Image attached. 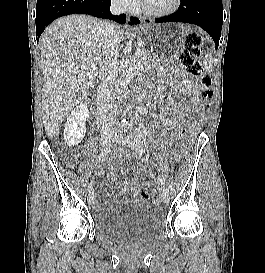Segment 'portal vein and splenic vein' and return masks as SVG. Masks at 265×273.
Here are the masks:
<instances>
[{"label":"portal vein and splenic vein","instance_id":"1","mask_svg":"<svg viewBox=\"0 0 265 273\" xmlns=\"http://www.w3.org/2000/svg\"><path fill=\"white\" fill-rule=\"evenodd\" d=\"M141 55H142L141 53H138V57H140ZM89 66L95 67L96 64L95 63H89Z\"/></svg>","mask_w":265,"mask_h":273}]
</instances>
